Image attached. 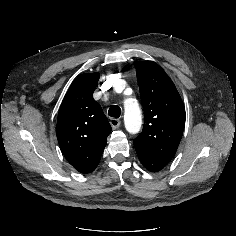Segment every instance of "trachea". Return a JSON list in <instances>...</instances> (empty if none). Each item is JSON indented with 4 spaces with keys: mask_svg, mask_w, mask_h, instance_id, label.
Instances as JSON below:
<instances>
[{
    "mask_svg": "<svg viewBox=\"0 0 236 236\" xmlns=\"http://www.w3.org/2000/svg\"><path fill=\"white\" fill-rule=\"evenodd\" d=\"M120 114H121V109L117 105L111 106L108 110V115L110 117L118 118V117H120Z\"/></svg>",
    "mask_w": 236,
    "mask_h": 236,
    "instance_id": "3493384b",
    "label": "trachea"
}]
</instances>
